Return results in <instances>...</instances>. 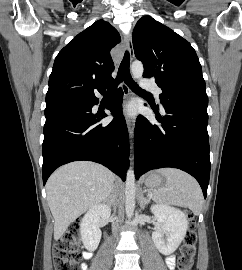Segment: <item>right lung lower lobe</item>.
<instances>
[{
  "label": "right lung lower lobe",
  "mask_w": 242,
  "mask_h": 270,
  "mask_svg": "<svg viewBox=\"0 0 242 270\" xmlns=\"http://www.w3.org/2000/svg\"><path fill=\"white\" fill-rule=\"evenodd\" d=\"M123 91L120 88L107 109L114 115L108 125L99 124L107 114H93L95 96L47 106L43 141V184L59 166L72 161L100 163L126 179L129 139L122 114Z\"/></svg>",
  "instance_id": "obj_1"
}]
</instances>
